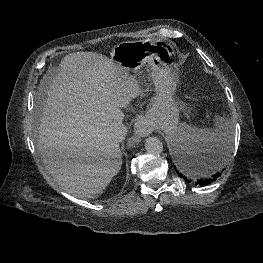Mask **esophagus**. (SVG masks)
Listing matches in <instances>:
<instances>
[{"instance_id": "obj_1", "label": "esophagus", "mask_w": 263, "mask_h": 263, "mask_svg": "<svg viewBox=\"0 0 263 263\" xmlns=\"http://www.w3.org/2000/svg\"><path fill=\"white\" fill-rule=\"evenodd\" d=\"M153 127L149 121L146 119H138L134 124V136L132 141H136L140 137L148 136L152 133Z\"/></svg>"}]
</instances>
